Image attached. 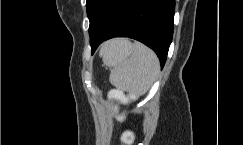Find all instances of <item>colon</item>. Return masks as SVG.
Returning <instances> with one entry per match:
<instances>
[{"label":"colon","instance_id":"colon-1","mask_svg":"<svg viewBox=\"0 0 243 145\" xmlns=\"http://www.w3.org/2000/svg\"><path fill=\"white\" fill-rule=\"evenodd\" d=\"M110 97L111 98H122V94L120 91L118 90H113L111 93H110ZM133 141V135L132 133L130 132H125L122 136V142L125 144V145H130Z\"/></svg>","mask_w":243,"mask_h":145}]
</instances>
